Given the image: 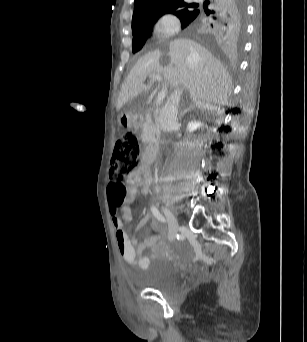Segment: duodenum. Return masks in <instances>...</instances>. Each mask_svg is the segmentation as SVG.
<instances>
[{"label": "duodenum", "instance_id": "duodenum-1", "mask_svg": "<svg viewBox=\"0 0 307 342\" xmlns=\"http://www.w3.org/2000/svg\"><path fill=\"white\" fill-rule=\"evenodd\" d=\"M132 124L135 127L140 128L141 127V120L135 119L134 117H127L125 126L127 128H130L132 126ZM154 154H155V150L153 147L144 146L142 149V159H143L144 163L149 164L150 161L153 159Z\"/></svg>", "mask_w": 307, "mask_h": 342}]
</instances>
